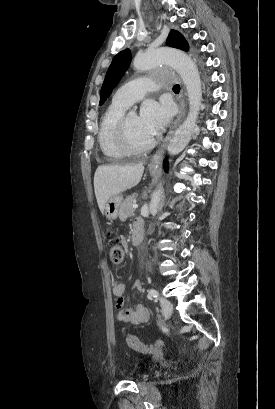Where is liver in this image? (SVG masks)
Instances as JSON below:
<instances>
[{
    "instance_id": "1",
    "label": "liver",
    "mask_w": 275,
    "mask_h": 409,
    "mask_svg": "<svg viewBox=\"0 0 275 409\" xmlns=\"http://www.w3.org/2000/svg\"><path fill=\"white\" fill-rule=\"evenodd\" d=\"M144 172L143 162L134 166H118V164H101L94 174V188L98 207L103 215L106 202L110 196L120 194L132 188L141 180Z\"/></svg>"
}]
</instances>
